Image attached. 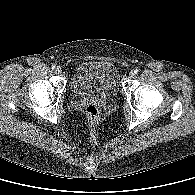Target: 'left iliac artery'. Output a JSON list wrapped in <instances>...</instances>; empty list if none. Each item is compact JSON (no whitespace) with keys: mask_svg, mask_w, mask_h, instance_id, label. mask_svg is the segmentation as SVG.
<instances>
[{"mask_svg":"<svg viewBox=\"0 0 195 195\" xmlns=\"http://www.w3.org/2000/svg\"><path fill=\"white\" fill-rule=\"evenodd\" d=\"M138 72H139V69L136 68V69L134 70V73L137 74Z\"/></svg>","mask_w":195,"mask_h":195,"instance_id":"left-iliac-artery-1","label":"left iliac artery"}]
</instances>
